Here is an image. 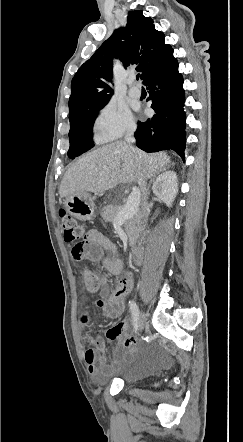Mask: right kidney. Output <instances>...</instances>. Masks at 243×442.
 Wrapping results in <instances>:
<instances>
[{
    "instance_id": "obj_1",
    "label": "right kidney",
    "mask_w": 243,
    "mask_h": 442,
    "mask_svg": "<svg viewBox=\"0 0 243 442\" xmlns=\"http://www.w3.org/2000/svg\"><path fill=\"white\" fill-rule=\"evenodd\" d=\"M152 190L159 200L168 207H171L178 193L176 173L174 171H166L161 174L154 182Z\"/></svg>"
}]
</instances>
